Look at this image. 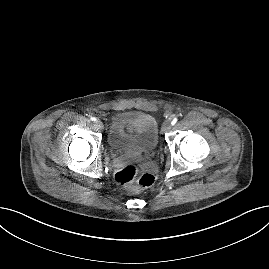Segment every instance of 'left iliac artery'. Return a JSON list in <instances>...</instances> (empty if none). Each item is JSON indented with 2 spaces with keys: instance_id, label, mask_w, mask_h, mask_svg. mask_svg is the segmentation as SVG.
Segmentation results:
<instances>
[{
  "instance_id": "obj_1",
  "label": "left iliac artery",
  "mask_w": 269,
  "mask_h": 269,
  "mask_svg": "<svg viewBox=\"0 0 269 269\" xmlns=\"http://www.w3.org/2000/svg\"><path fill=\"white\" fill-rule=\"evenodd\" d=\"M177 118H174L172 121H171V125H175L176 124V122H177Z\"/></svg>"
}]
</instances>
